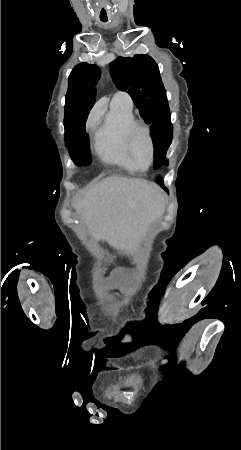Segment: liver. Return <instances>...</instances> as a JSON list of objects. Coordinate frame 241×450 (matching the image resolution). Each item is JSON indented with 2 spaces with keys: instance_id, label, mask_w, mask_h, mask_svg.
<instances>
[{
  "instance_id": "6515ba94",
  "label": "liver",
  "mask_w": 241,
  "mask_h": 450,
  "mask_svg": "<svg viewBox=\"0 0 241 450\" xmlns=\"http://www.w3.org/2000/svg\"><path fill=\"white\" fill-rule=\"evenodd\" d=\"M163 190L147 180L108 176L75 196V210L97 240L118 246L122 228L140 218L150 220L164 204Z\"/></svg>"
}]
</instances>
